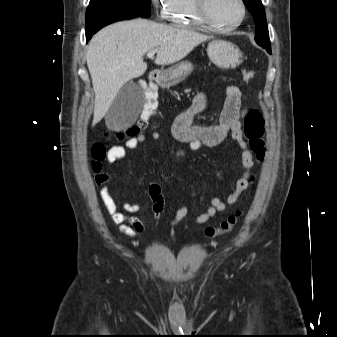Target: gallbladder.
Listing matches in <instances>:
<instances>
[{
	"label": "gallbladder",
	"mask_w": 337,
	"mask_h": 337,
	"mask_svg": "<svg viewBox=\"0 0 337 337\" xmlns=\"http://www.w3.org/2000/svg\"><path fill=\"white\" fill-rule=\"evenodd\" d=\"M144 103L143 93L134 82H128L120 89L106 114V124L111 130L131 126L137 119Z\"/></svg>",
	"instance_id": "1"
}]
</instances>
